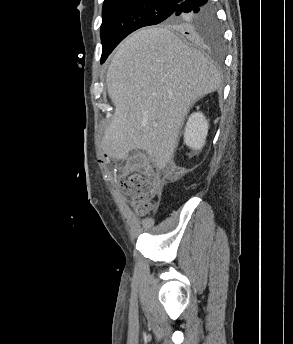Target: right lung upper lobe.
Here are the masks:
<instances>
[{
	"label": "right lung upper lobe",
	"mask_w": 293,
	"mask_h": 344,
	"mask_svg": "<svg viewBox=\"0 0 293 344\" xmlns=\"http://www.w3.org/2000/svg\"><path fill=\"white\" fill-rule=\"evenodd\" d=\"M124 1H132V0H105L104 3L108 4V3H112V2H124ZM159 1H166V2H171V3L178 4L182 0H159Z\"/></svg>",
	"instance_id": "cb5924a9"
}]
</instances>
